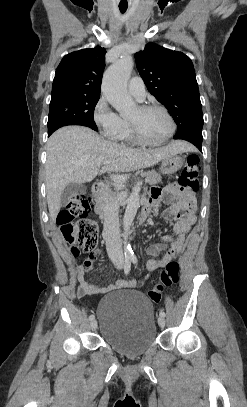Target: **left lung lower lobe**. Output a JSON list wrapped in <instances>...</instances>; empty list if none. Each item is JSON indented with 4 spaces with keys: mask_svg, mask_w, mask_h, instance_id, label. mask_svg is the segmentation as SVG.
<instances>
[{
    "mask_svg": "<svg viewBox=\"0 0 247 407\" xmlns=\"http://www.w3.org/2000/svg\"><path fill=\"white\" fill-rule=\"evenodd\" d=\"M174 139H182L194 144L202 152V128L196 127L176 133Z\"/></svg>",
    "mask_w": 247,
    "mask_h": 407,
    "instance_id": "1",
    "label": "left lung lower lobe"
}]
</instances>
